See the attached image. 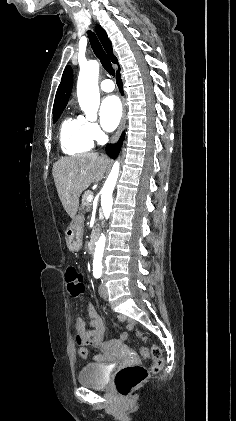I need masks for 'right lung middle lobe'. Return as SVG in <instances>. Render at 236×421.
<instances>
[{"label": "right lung middle lobe", "mask_w": 236, "mask_h": 421, "mask_svg": "<svg viewBox=\"0 0 236 421\" xmlns=\"http://www.w3.org/2000/svg\"><path fill=\"white\" fill-rule=\"evenodd\" d=\"M63 110H64V108L53 111V123H55L58 120V118L62 114Z\"/></svg>", "instance_id": "1"}]
</instances>
